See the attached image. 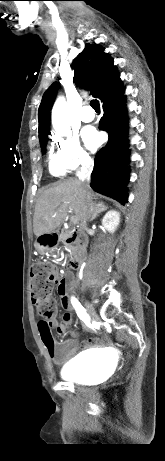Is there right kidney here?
<instances>
[{"label":"right kidney","instance_id":"obj_1","mask_svg":"<svg viewBox=\"0 0 165 461\" xmlns=\"http://www.w3.org/2000/svg\"><path fill=\"white\" fill-rule=\"evenodd\" d=\"M120 222V213L115 210H110L102 219L103 227L110 233H114Z\"/></svg>","mask_w":165,"mask_h":461}]
</instances>
